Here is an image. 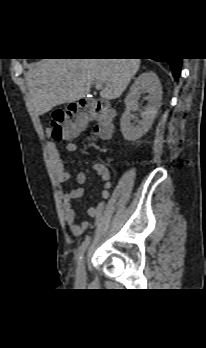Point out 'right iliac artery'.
<instances>
[{
  "label": "right iliac artery",
  "instance_id": "82829eb1",
  "mask_svg": "<svg viewBox=\"0 0 206 348\" xmlns=\"http://www.w3.org/2000/svg\"><path fill=\"white\" fill-rule=\"evenodd\" d=\"M107 203V200L105 198H102L101 201L97 202V213H96V217H95V222H100L103 219V214H104V209H105V204ZM89 240L90 237H87L86 240L82 243V245L80 246L77 256H76V260L79 263L84 255V252L86 251V248L89 244Z\"/></svg>",
  "mask_w": 206,
  "mask_h": 348
}]
</instances>
